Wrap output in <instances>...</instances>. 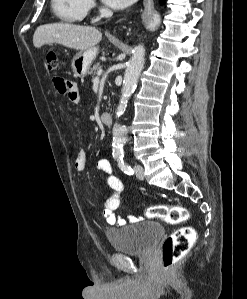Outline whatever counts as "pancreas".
<instances>
[{"label":"pancreas","mask_w":247,"mask_h":299,"mask_svg":"<svg viewBox=\"0 0 247 299\" xmlns=\"http://www.w3.org/2000/svg\"><path fill=\"white\" fill-rule=\"evenodd\" d=\"M101 69H102V65H101L100 63H96V64H94L93 67L91 68L89 74H90V75H96L97 72H98L99 70H101Z\"/></svg>","instance_id":"pancreas-1"}]
</instances>
